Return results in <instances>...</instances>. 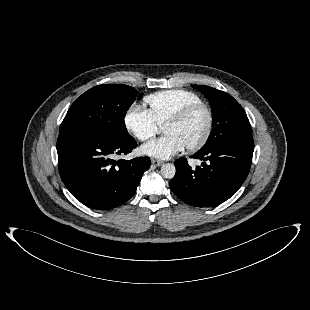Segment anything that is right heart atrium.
<instances>
[{
	"instance_id": "right-heart-atrium-1",
	"label": "right heart atrium",
	"mask_w": 310,
	"mask_h": 310,
	"mask_svg": "<svg viewBox=\"0 0 310 310\" xmlns=\"http://www.w3.org/2000/svg\"><path fill=\"white\" fill-rule=\"evenodd\" d=\"M123 122L126 130L140 141L152 138L159 128L149 112L137 104L128 107Z\"/></svg>"
}]
</instances>
